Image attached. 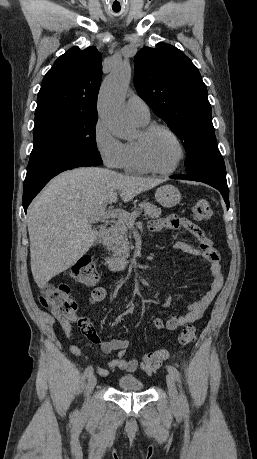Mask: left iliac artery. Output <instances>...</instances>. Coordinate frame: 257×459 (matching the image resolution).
<instances>
[{"label": "left iliac artery", "mask_w": 257, "mask_h": 459, "mask_svg": "<svg viewBox=\"0 0 257 459\" xmlns=\"http://www.w3.org/2000/svg\"><path fill=\"white\" fill-rule=\"evenodd\" d=\"M167 369H168V372L173 376V378L179 384V387H180V404H181V407H182L183 411L185 413H188L189 412V405H188L187 398H186V396L184 394V391L182 389L180 373L174 366H171V365H168Z\"/></svg>", "instance_id": "obj_1"}]
</instances>
